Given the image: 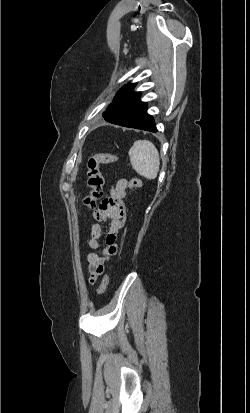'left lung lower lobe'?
I'll return each mask as SVG.
<instances>
[{"label":"left lung lower lobe","instance_id":"left-lung-lower-lobe-1","mask_svg":"<svg viewBox=\"0 0 250 413\" xmlns=\"http://www.w3.org/2000/svg\"><path fill=\"white\" fill-rule=\"evenodd\" d=\"M146 110L147 103L140 101V92H132L122 100L119 110L105 120L124 127L157 132L154 119Z\"/></svg>","mask_w":250,"mask_h":413}]
</instances>
